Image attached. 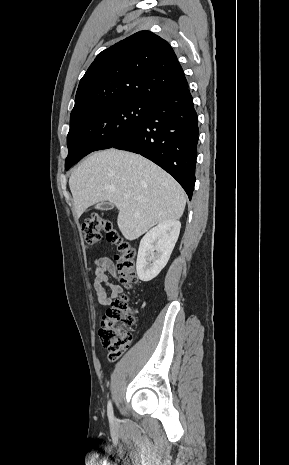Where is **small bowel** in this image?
Returning a JSON list of instances; mask_svg holds the SVG:
<instances>
[{
    "instance_id": "small-bowel-1",
    "label": "small bowel",
    "mask_w": 289,
    "mask_h": 465,
    "mask_svg": "<svg viewBox=\"0 0 289 465\" xmlns=\"http://www.w3.org/2000/svg\"><path fill=\"white\" fill-rule=\"evenodd\" d=\"M95 265L94 291L99 304L107 306L122 294L123 289L111 281V278L117 277L116 266L111 259L99 257L96 259Z\"/></svg>"
}]
</instances>
